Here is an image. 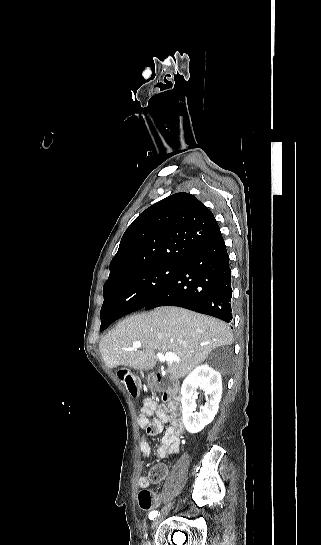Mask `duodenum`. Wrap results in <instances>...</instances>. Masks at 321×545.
<instances>
[{
  "instance_id": "410a0bca",
  "label": "duodenum",
  "mask_w": 321,
  "mask_h": 545,
  "mask_svg": "<svg viewBox=\"0 0 321 545\" xmlns=\"http://www.w3.org/2000/svg\"><path fill=\"white\" fill-rule=\"evenodd\" d=\"M149 384L162 393V398L166 402H177L180 399L178 386L168 377L154 373L148 378Z\"/></svg>"
}]
</instances>
